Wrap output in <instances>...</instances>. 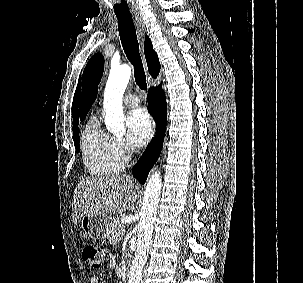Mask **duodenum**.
I'll use <instances>...</instances> for the list:
<instances>
[{
  "mask_svg": "<svg viewBox=\"0 0 303 283\" xmlns=\"http://www.w3.org/2000/svg\"><path fill=\"white\" fill-rule=\"evenodd\" d=\"M130 267H131V265H130L129 263H127V264L125 265L124 270H125L126 274H128V273H129V271H130Z\"/></svg>",
  "mask_w": 303,
  "mask_h": 283,
  "instance_id": "1",
  "label": "duodenum"
}]
</instances>
